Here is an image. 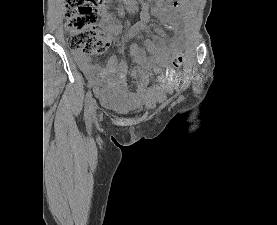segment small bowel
Segmentation results:
<instances>
[{
    "label": "small bowel",
    "mask_w": 277,
    "mask_h": 225,
    "mask_svg": "<svg viewBox=\"0 0 277 225\" xmlns=\"http://www.w3.org/2000/svg\"><path fill=\"white\" fill-rule=\"evenodd\" d=\"M150 9L164 28L154 30L149 28ZM98 15L102 27V37L109 46L113 40V35L120 31V25L116 23L111 15L106 13L104 8H98ZM183 17H185V13L182 6L174 9L172 5L166 4L165 0H156V5L152 8H150L148 2L143 4L142 21L129 28L125 33V37L132 39L137 37L140 30L144 31V45L140 46L133 43L130 46L129 53L135 61H148L151 72L157 77V84L149 87L148 75H145L138 84L136 93L131 94L130 98L139 102L156 103L162 101L168 93L173 91L174 81L172 76L168 74L166 65L168 57L174 50V44L169 39L167 32L175 30L179 20ZM151 35L153 38H150ZM75 58L91 86L97 94L102 96L107 95L108 87L119 83L121 75L126 69V63L120 62L116 56L110 57L105 66L94 63L86 55H76Z\"/></svg>",
    "instance_id": "small-bowel-1"
}]
</instances>
